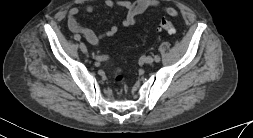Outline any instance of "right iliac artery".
Wrapping results in <instances>:
<instances>
[{"instance_id": "1", "label": "right iliac artery", "mask_w": 253, "mask_h": 138, "mask_svg": "<svg viewBox=\"0 0 253 138\" xmlns=\"http://www.w3.org/2000/svg\"><path fill=\"white\" fill-rule=\"evenodd\" d=\"M74 38H75L76 40H80V39H81L80 35H75ZM98 58H99V59H107V58H108V55L99 56Z\"/></svg>"}]
</instances>
